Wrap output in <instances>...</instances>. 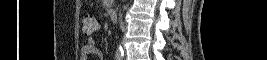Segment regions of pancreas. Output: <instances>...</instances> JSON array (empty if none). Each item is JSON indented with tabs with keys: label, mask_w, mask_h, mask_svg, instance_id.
I'll return each instance as SVG.
<instances>
[{
	"label": "pancreas",
	"mask_w": 267,
	"mask_h": 60,
	"mask_svg": "<svg viewBox=\"0 0 267 60\" xmlns=\"http://www.w3.org/2000/svg\"><path fill=\"white\" fill-rule=\"evenodd\" d=\"M103 2L105 3V2H107V1H106V0H103ZM110 6H111V4H109L108 6H106V8L109 9Z\"/></svg>",
	"instance_id": "obj_1"
}]
</instances>
